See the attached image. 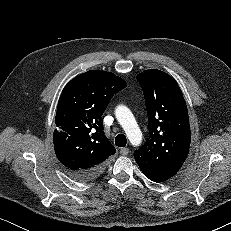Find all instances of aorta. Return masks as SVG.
<instances>
[{
    "mask_svg": "<svg viewBox=\"0 0 231 231\" xmlns=\"http://www.w3.org/2000/svg\"><path fill=\"white\" fill-rule=\"evenodd\" d=\"M115 115L131 144L138 146L142 141V132L130 109L124 105H119L115 110Z\"/></svg>",
    "mask_w": 231,
    "mask_h": 231,
    "instance_id": "obj_1",
    "label": "aorta"
}]
</instances>
